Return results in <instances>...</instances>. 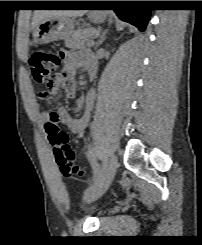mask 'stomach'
I'll use <instances>...</instances> for the list:
<instances>
[{
    "label": "stomach",
    "mask_w": 202,
    "mask_h": 245,
    "mask_svg": "<svg viewBox=\"0 0 202 245\" xmlns=\"http://www.w3.org/2000/svg\"><path fill=\"white\" fill-rule=\"evenodd\" d=\"M88 17L95 23H102L106 20V13L103 11H91ZM74 27V18L48 16L35 27L33 43L35 45H42L55 40L68 39L74 33Z\"/></svg>",
    "instance_id": "1"
}]
</instances>
